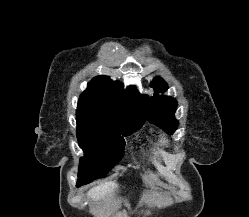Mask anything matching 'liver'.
Returning <instances> with one entry per match:
<instances>
[{"label": "liver", "instance_id": "1", "mask_svg": "<svg viewBox=\"0 0 249 217\" xmlns=\"http://www.w3.org/2000/svg\"><path fill=\"white\" fill-rule=\"evenodd\" d=\"M115 188H117V183L115 181L106 182L91 188L88 191V196L93 200H98L107 194L112 193Z\"/></svg>", "mask_w": 249, "mask_h": 217}]
</instances>
